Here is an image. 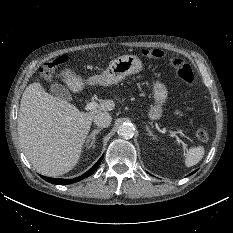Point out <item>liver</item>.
<instances>
[{"mask_svg":"<svg viewBox=\"0 0 233 233\" xmlns=\"http://www.w3.org/2000/svg\"><path fill=\"white\" fill-rule=\"evenodd\" d=\"M59 76L73 93L85 88V80L70 69ZM115 103L103 100L98 110L81 112L66 100L48 94L40 83L23 92L18 115V135L24 153L37 172L59 176L76 165L98 113L111 111Z\"/></svg>","mask_w":233,"mask_h":233,"instance_id":"1","label":"liver"}]
</instances>
